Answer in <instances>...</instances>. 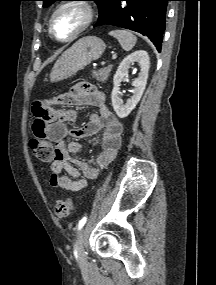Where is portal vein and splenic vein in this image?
Masks as SVG:
<instances>
[{
  "mask_svg": "<svg viewBox=\"0 0 216 285\" xmlns=\"http://www.w3.org/2000/svg\"><path fill=\"white\" fill-rule=\"evenodd\" d=\"M105 64V62H102V65H104Z\"/></svg>",
  "mask_w": 216,
  "mask_h": 285,
  "instance_id": "portal-vein-and-splenic-vein-1",
  "label": "portal vein and splenic vein"
}]
</instances>
